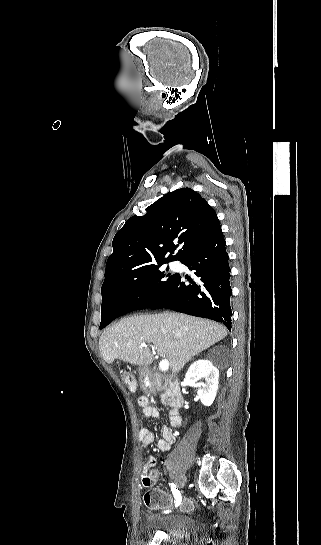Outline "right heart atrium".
<instances>
[{
    "label": "right heart atrium",
    "instance_id": "1",
    "mask_svg": "<svg viewBox=\"0 0 321 545\" xmlns=\"http://www.w3.org/2000/svg\"><path fill=\"white\" fill-rule=\"evenodd\" d=\"M138 295L145 300H152L158 296V287L152 281H144L138 286Z\"/></svg>",
    "mask_w": 321,
    "mask_h": 545
}]
</instances>
